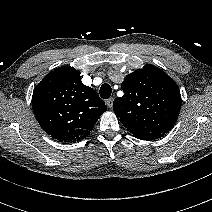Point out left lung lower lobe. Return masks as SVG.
Masks as SVG:
<instances>
[{
	"instance_id": "obj_1",
	"label": "left lung lower lobe",
	"mask_w": 212,
	"mask_h": 212,
	"mask_svg": "<svg viewBox=\"0 0 212 212\" xmlns=\"http://www.w3.org/2000/svg\"><path fill=\"white\" fill-rule=\"evenodd\" d=\"M163 136H164V134H161V133H146L144 136L136 137V138L141 139V140H156Z\"/></svg>"
}]
</instances>
